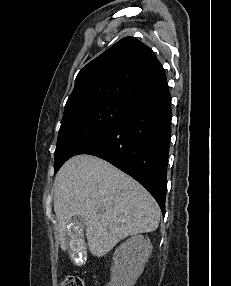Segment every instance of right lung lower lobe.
Returning <instances> with one entry per match:
<instances>
[{"mask_svg": "<svg viewBox=\"0 0 231 286\" xmlns=\"http://www.w3.org/2000/svg\"><path fill=\"white\" fill-rule=\"evenodd\" d=\"M129 113L78 154L100 157L141 183L165 214L171 97L167 80L127 104Z\"/></svg>", "mask_w": 231, "mask_h": 286, "instance_id": "obj_1", "label": "right lung lower lobe"}]
</instances>
